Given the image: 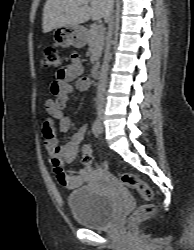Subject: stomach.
Listing matches in <instances>:
<instances>
[{
  "label": "stomach",
  "mask_w": 194,
  "mask_h": 250,
  "mask_svg": "<svg viewBox=\"0 0 194 250\" xmlns=\"http://www.w3.org/2000/svg\"><path fill=\"white\" fill-rule=\"evenodd\" d=\"M85 34V29L80 25L65 26L55 30L54 40L61 47L81 48L87 42Z\"/></svg>",
  "instance_id": "stomach-1"
}]
</instances>
